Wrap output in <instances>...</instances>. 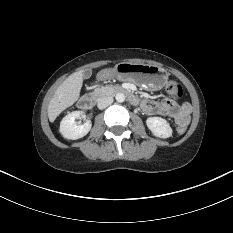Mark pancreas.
I'll return each mask as SVG.
<instances>
[{"instance_id": "obj_1", "label": "pancreas", "mask_w": 233, "mask_h": 233, "mask_svg": "<svg viewBox=\"0 0 233 233\" xmlns=\"http://www.w3.org/2000/svg\"><path fill=\"white\" fill-rule=\"evenodd\" d=\"M116 90H119V87H115ZM110 93V90L107 87H102V88H96L93 92L94 95L96 96H104Z\"/></svg>"}]
</instances>
